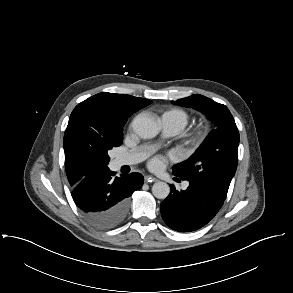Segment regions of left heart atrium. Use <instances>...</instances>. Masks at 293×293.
I'll return each mask as SVG.
<instances>
[{"label": "left heart atrium", "mask_w": 293, "mask_h": 293, "mask_svg": "<svg viewBox=\"0 0 293 293\" xmlns=\"http://www.w3.org/2000/svg\"><path fill=\"white\" fill-rule=\"evenodd\" d=\"M166 163H167V159L164 158V157H155L153 158L151 161H150V168L155 171V172H160L162 171L165 166H166Z\"/></svg>", "instance_id": "obj_1"}]
</instances>
